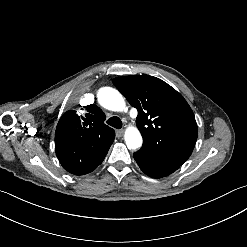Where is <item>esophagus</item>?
I'll list each match as a JSON object with an SVG mask.
<instances>
[{"label":"esophagus","instance_id":"obj_1","mask_svg":"<svg viewBox=\"0 0 247 247\" xmlns=\"http://www.w3.org/2000/svg\"><path fill=\"white\" fill-rule=\"evenodd\" d=\"M123 134H124V131H123L122 129L116 130V137H117V138L122 137Z\"/></svg>","mask_w":247,"mask_h":247}]
</instances>
